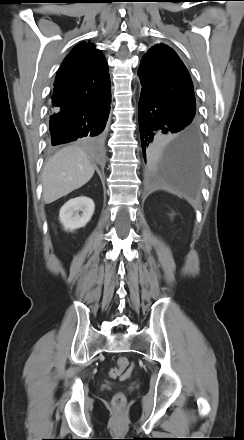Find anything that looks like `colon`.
Wrapping results in <instances>:
<instances>
[{
  "mask_svg": "<svg viewBox=\"0 0 244 440\" xmlns=\"http://www.w3.org/2000/svg\"><path fill=\"white\" fill-rule=\"evenodd\" d=\"M131 370L132 365L129 360L126 357H120L117 360V366L110 370V375L112 377L122 376V378H126L131 373ZM112 403L117 408L123 407L126 403L125 395L122 392L116 393L113 397Z\"/></svg>",
  "mask_w": 244,
  "mask_h": 440,
  "instance_id": "obj_1",
  "label": "colon"
}]
</instances>
